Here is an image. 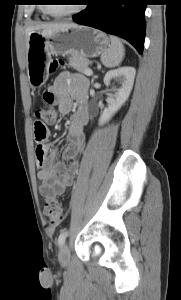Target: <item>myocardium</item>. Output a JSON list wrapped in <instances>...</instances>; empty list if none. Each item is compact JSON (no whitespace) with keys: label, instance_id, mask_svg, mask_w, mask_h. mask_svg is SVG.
Returning a JSON list of instances; mask_svg holds the SVG:
<instances>
[{"label":"myocardium","instance_id":"obj_1","mask_svg":"<svg viewBox=\"0 0 181 300\" xmlns=\"http://www.w3.org/2000/svg\"><path fill=\"white\" fill-rule=\"evenodd\" d=\"M44 11L46 12V14H48L54 18H63V17H67V16L76 14L79 11V7H75L72 10L67 11V12L56 13V12L52 11L51 7L48 4H46L44 6Z\"/></svg>","mask_w":181,"mask_h":300}]
</instances>
